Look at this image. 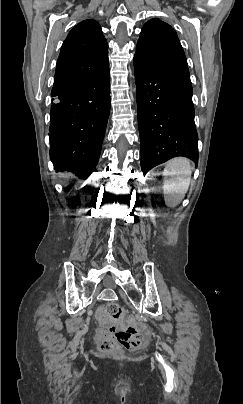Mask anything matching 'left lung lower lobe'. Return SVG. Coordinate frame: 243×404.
<instances>
[{
    "mask_svg": "<svg viewBox=\"0 0 243 404\" xmlns=\"http://www.w3.org/2000/svg\"><path fill=\"white\" fill-rule=\"evenodd\" d=\"M137 83L141 167L151 168L176 157L198 164L192 85L188 75L165 72L134 58Z\"/></svg>",
    "mask_w": 243,
    "mask_h": 404,
    "instance_id": "left-lung-lower-lobe-1",
    "label": "left lung lower lobe"
}]
</instances>
